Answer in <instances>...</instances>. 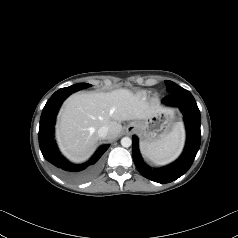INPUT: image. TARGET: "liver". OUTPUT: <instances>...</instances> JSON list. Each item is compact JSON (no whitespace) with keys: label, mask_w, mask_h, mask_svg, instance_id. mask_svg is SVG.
Masks as SVG:
<instances>
[{"label":"liver","mask_w":238,"mask_h":238,"mask_svg":"<svg viewBox=\"0 0 238 238\" xmlns=\"http://www.w3.org/2000/svg\"><path fill=\"white\" fill-rule=\"evenodd\" d=\"M161 110L153 104L121 88L108 93H77L64 103L59 114L56 139L61 152L73 162L87 159L98 143V129L108 127L107 139H115L122 121L143 120Z\"/></svg>","instance_id":"liver-1"}]
</instances>
